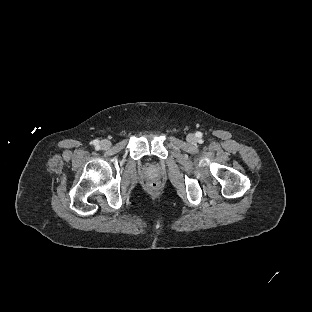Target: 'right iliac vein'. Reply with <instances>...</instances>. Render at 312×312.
<instances>
[{
	"mask_svg": "<svg viewBox=\"0 0 312 312\" xmlns=\"http://www.w3.org/2000/svg\"><path fill=\"white\" fill-rule=\"evenodd\" d=\"M110 145H111V142L109 141V140H102L101 142H100V147L102 148V149H108L109 147H110Z\"/></svg>",
	"mask_w": 312,
	"mask_h": 312,
	"instance_id": "1",
	"label": "right iliac vein"
}]
</instances>
